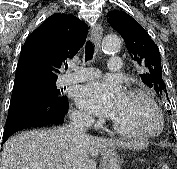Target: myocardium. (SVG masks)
I'll return each mask as SVG.
<instances>
[{
	"mask_svg": "<svg viewBox=\"0 0 177 169\" xmlns=\"http://www.w3.org/2000/svg\"><path fill=\"white\" fill-rule=\"evenodd\" d=\"M124 95L143 98L155 112L158 126L154 131L150 132H131L119 125L115 120L111 119V124L114 130L123 136L138 139H152L160 135L164 129V117L160 107L154 101L152 96L147 91L140 88H129L125 91Z\"/></svg>",
	"mask_w": 177,
	"mask_h": 169,
	"instance_id": "obj_1",
	"label": "myocardium"
}]
</instances>
